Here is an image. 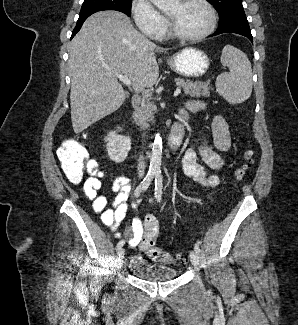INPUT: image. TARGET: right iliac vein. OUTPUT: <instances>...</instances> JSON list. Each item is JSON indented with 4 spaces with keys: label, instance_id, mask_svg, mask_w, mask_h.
Returning a JSON list of instances; mask_svg holds the SVG:
<instances>
[{
    "label": "right iliac vein",
    "instance_id": "obj_1",
    "mask_svg": "<svg viewBox=\"0 0 298 325\" xmlns=\"http://www.w3.org/2000/svg\"><path fill=\"white\" fill-rule=\"evenodd\" d=\"M125 250L124 248H120L117 252L116 256V266L117 268H121L124 260Z\"/></svg>",
    "mask_w": 298,
    "mask_h": 325
}]
</instances>
